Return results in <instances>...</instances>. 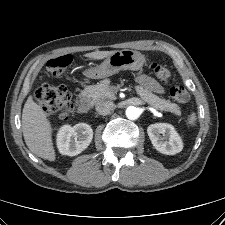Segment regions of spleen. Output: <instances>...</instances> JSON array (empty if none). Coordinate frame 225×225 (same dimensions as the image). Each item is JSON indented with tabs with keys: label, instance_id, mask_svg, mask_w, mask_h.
<instances>
[{
	"label": "spleen",
	"instance_id": "obj_1",
	"mask_svg": "<svg viewBox=\"0 0 225 225\" xmlns=\"http://www.w3.org/2000/svg\"><path fill=\"white\" fill-rule=\"evenodd\" d=\"M196 123V114L195 113H191L188 117V124L191 126H194Z\"/></svg>",
	"mask_w": 225,
	"mask_h": 225
}]
</instances>
